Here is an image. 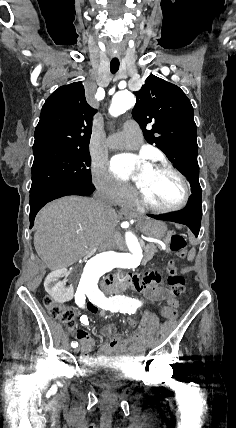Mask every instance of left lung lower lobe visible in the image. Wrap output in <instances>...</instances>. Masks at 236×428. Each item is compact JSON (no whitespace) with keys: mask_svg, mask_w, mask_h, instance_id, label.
<instances>
[{"mask_svg":"<svg viewBox=\"0 0 236 428\" xmlns=\"http://www.w3.org/2000/svg\"><path fill=\"white\" fill-rule=\"evenodd\" d=\"M202 190L191 194L187 206L178 212L164 215H151L149 217L172 221L180 224L187 225L194 235L197 237L200 230L201 217H202Z\"/></svg>","mask_w":236,"mask_h":428,"instance_id":"obj_1","label":"left lung lower lobe"}]
</instances>
